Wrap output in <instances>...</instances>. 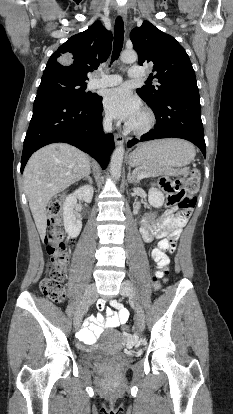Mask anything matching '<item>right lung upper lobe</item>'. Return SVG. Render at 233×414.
<instances>
[{"label":"right lung upper lobe","mask_w":233,"mask_h":414,"mask_svg":"<svg viewBox=\"0 0 233 414\" xmlns=\"http://www.w3.org/2000/svg\"><path fill=\"white\" fill-rule=\"evenodd\" d=\"M112 34L99 21L70 37L49 58L43 76L88 80L87 73L105 62L111 52Z\"/></svg>","instance_id":"cb5924a9"}]
</instances>
